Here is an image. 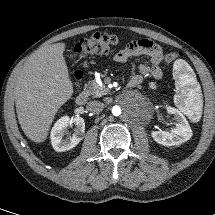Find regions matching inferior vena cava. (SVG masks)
I'll return each instance as SVG.
<instances>
[{
  "instance_id": "inferior-vena-cava-1",
  "label": "inferior vena cava",
  "mask_w": 215,
  "mask_h": 215,
  "mask_svg": "<svg viewBox=\"0 0 215 215\" xmlns=\"http://www.w3.org/2000/svg\"><path fill=\"white\" fill-rule=\"evenodd\" d=\"M104 108V104L100 101H90L87 103V109L95 114L100 113Z\"/></svg>"
}]
</instances>
